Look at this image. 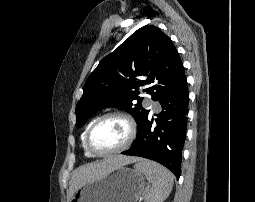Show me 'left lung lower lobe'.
<instances>
[{"instance_id":"left-lung-lower-lobe-1","label":"left lung lower lobe","mask_w":255,"mask_h":202,"mask_svg":"<svg viewBox=\"0 0 255 202\" xmlns=\"http://www.w3.org/2000/svg\"><path fill=\"white\" fill-rule=\"evenodd\" d=\"M162 111L152 120L146 117L132 146L124 155L154 160L171 170L177 178L181 173L182 149L186 138L189 93L186 77L159 98ZM153 122L156 123L152 127Z\"/></svg>"}]
</instances>
